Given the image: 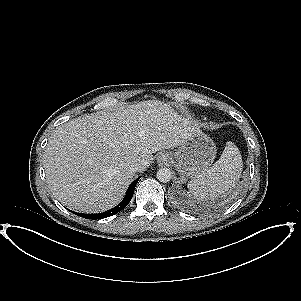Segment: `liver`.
Instances as JSON below:
<instances>
[{
	"mask_svg": "<svg viewBox=\"0 0 301 301\" xmlns=\"http://www.w3.org/2000/svg\"><path fill=\"white\" fill-rule=\"evenodd\" d=\"M188 125L170 107L150 102L74 118L48 140L47 184L69 209L109 210L132 181L129 166L139 163L145 169L153 153L180 146L190 134Z\"/></svg>",
	"mask_w": 301,
	"mask_h": 301,
	"instance_id": "obj_1",
	"label": "liver"
}]
</instances>
